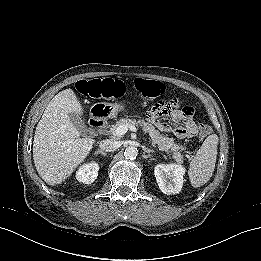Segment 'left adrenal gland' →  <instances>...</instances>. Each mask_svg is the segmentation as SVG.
Masks as SVG:
<instances>
[{
    "mask_svg": "<svg viewBox=\"0 0 261 261\" xmlns=\"http://www.w3.org/2000/svg\"><path fill=\"white\" fill-rule=\"evenodd\" d=\"M144 151L146 152V153H148V154H153V153H156V151H154V150H151V149H149V148H147V147H144Z\"/></svg>",
    "mask_w": 261,
    "mask_h": 261,
    "instance_id": "obj_1",
    "label": "left adrenal gland"
}]
</instances>
